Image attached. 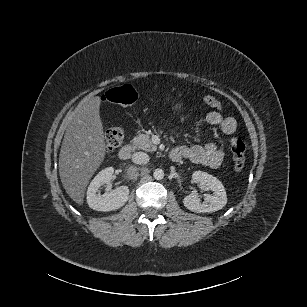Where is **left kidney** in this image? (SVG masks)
I'll list each match as a JSON object with an SVG mask.
<instances>
[{"instance_id": "5707ae66", "label": "left kidney", "mask_w": 307, "mask_h": 307, "mask_svg": "<svg viewBox=\"0 0 307 307\" xmlns=\"http://www.w3.org/2000/svg\"><path fill=\"white\" fill-rule=\"evenodd\" d=\"M192 182L200 186H206L213 191V195H206L205 201L200 202L196 191L186 196L183 200L184 206L196 213L214 212L222 209L227 203V195L222 183L212 175L195 171L192 174Z\"/></svg>"}]
</instances>
